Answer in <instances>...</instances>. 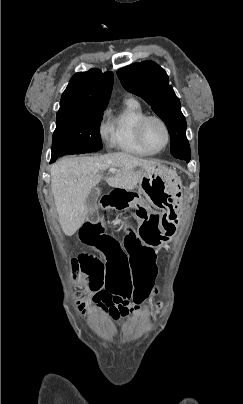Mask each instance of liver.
I'll use <instances>...</instances> for the list:
<instances>
[{
    "label": "liver",
    "instance_id": "1",
    "mask_svg": "<svg viewBox=\"0 0 243 404\" xmlns=\"http://www.w3.org/2000/svg\"><path fill=\"white\" fill-rule=\"evenodd\" d=\"M152 166H157V162L136 158L126 152L94 158H62L52 164L51 190L64 234L73 236L83 226L86 198L93 186L101 182L106 170H116L114 176L106 178L109 186L132 192L139 184L143 170Z\"/></svg>",
    "mask_w": 243,
    "mask_h": 404
}]
</instances>
